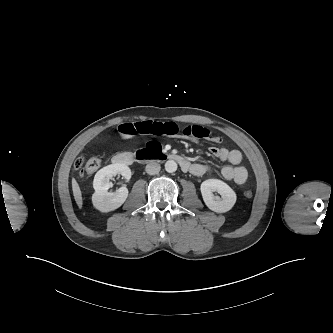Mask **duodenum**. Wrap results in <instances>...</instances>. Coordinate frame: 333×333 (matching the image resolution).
<instances>
[{
    "mask_svg": "<svg viewBox=\"0 0 333 333\" xmlns=\"http://www.w3.org/2000/svg\"><path fill=\"white\" fill-rule=\"evenodd\" d=\"M135 159L140 161H175L180 165V168L184 172H191L194 168V164L189 162L186 158L178 154L171 153H161L154 152L149 149H141L137 151L135 154L132 152H123L115 156L114 163L123 164V165H131Z\"/></svg>",
    "mask_w": 333,
    "mask_h": 333,
    "instance_id": "obj_1",
    "label": "duodenum"
}]
</instances>
